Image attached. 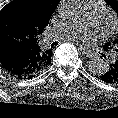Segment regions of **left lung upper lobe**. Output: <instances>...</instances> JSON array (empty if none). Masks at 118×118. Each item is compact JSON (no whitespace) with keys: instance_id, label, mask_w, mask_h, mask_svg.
Returning <instances> with one entry per match:
<instances>
[{"instance_id":"5c2ea615","label":"left lung upper lobe","mask_w":118,"mask_h":118,"mask_svg":"<svg viewBox=\"0 0 118 118\" xmlns=\"http://www.w3.org/2000/svg\"><path fill=\"white\" fill-rule=\"evenodd\" d=\"M107 4H109L117 13H118V0H106ZM105 50H111L113 49L117 56V62H118V39H116L113 42V45L110 43H106L104 45Z\"/></svg>"}]
</instances>
